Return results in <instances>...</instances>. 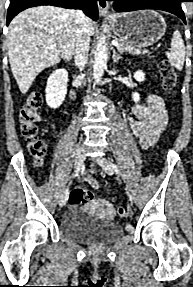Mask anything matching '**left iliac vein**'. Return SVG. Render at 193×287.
<instances>
[{"mask_svg":"<svg viewBox=\"0 0 193 287\" xmlns=\"http://www.w3.org/2000/svg\"><path fill=\"white\" fill-rule=\"evenodd\" d=\"M96 162L101 166V168L107 173L109 176L114 175L115 169L113 167V164L107 160L106 158L100 156L96 158ZM128 197L131 203H133V199L131 194L128 192Z\"/></svg>","mask_w":193,"mask_h":287,"instance_id":"left-iliac-vein-1","label":"left iliac vein"}]
</instances>
